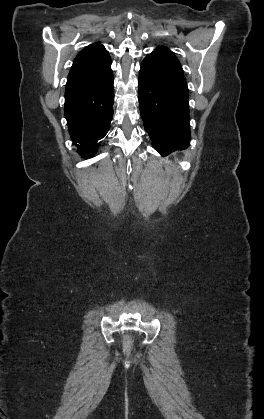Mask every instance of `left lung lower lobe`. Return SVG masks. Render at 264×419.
<instances>
[{
	"instance_id": "obj_1",
	"label": "left lung lower lobe",
	"mask_w": 264,
	"mask_h": 419,
	"mask_svg": "<svg viewBox=\"0 0 264 419\" xmlns=\"http://www.w3.org/2000/svg\"><path fill=\"white\" fill-rule=\"evenodd\" d=\"M139 106L144 128L162 156L189 146L188 87L169 49L157 48L141 63Z\"/></svg>"
}]
</instances>
